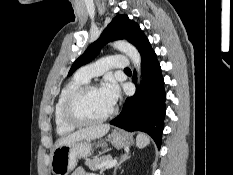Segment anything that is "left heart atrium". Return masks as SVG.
<instances>
[{"instance_id":"1","label":"left heart atrium","mask_w":233,"mask_h":175,"mask_svg":"<svg viewBox=\"0 0 233 175\" xmlns=\"http://www.w3.org/2000/svg\"><path fill=\"white\" fill-rule=\"evenodd\" d=\"M100 89L109 103L114 106L120 97L118 84L113 79H107Z\"/></svg>"}]
</instances>
